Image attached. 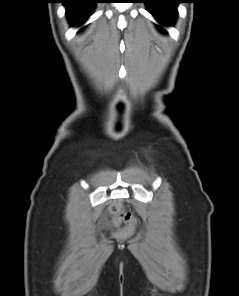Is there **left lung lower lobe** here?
<instances>
[{
  "instance_id": "1",
  "label": "left lung lower lobe",
  "mask_w": 239,
  "mask_h": 296,
  "mask_svg": "<svg viewBox=\"0 0 239 296\" xmlns=\"http://www.w3.org/2000/svg\"><path fill=\"white\" fill-rule=\"evenodd\" d=\"M149 12L163 25H171L177 13V4L181 0H143Z\"/></svg>"
}]
</instances>
